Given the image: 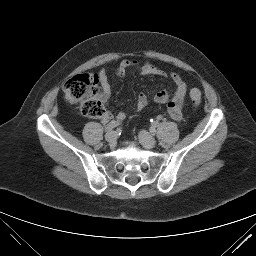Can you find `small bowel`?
I'll return each mask as SVG.
<instances>
[{
  "label": "small bowel",
  "instance_id": "c3829d8e",
  "mask_svg": "<svg viewBox=\"0 0 256 256\" xmlns=\"http://www.w3.org/2000/svg\"><path fill=\"white\" fill-rule=\"evenodd\" d=\"M129 66L137 67L139 73L143 76H160V77H169L174 83V90L170 93L167 90L158 91L154 95V102L157 104H166L167 112L169 116L179 121L182 117V109L185 101V97L187 94V84L183 80L180 74L176 72H171L167 74L165 71L152 64L149 61H145L143 63H139L136 60H123L117 67V74L124 75L126 69ZM99 79L101 83V93L99 95V99L102 103L107 104L111 97V84L109 81L108 74L105 70H101L99 72ZM148 104V97L145 93L140 92L137 96L136 108L138 110L144 109ZM113 118L111 112L107 111L105 116L103 117V122H107ZM125 118L124 112H119L116 115L117 120H123Z\"/></svg>",
  "mask_w": 256,
  "mask_h": 256
}]
</instances>
